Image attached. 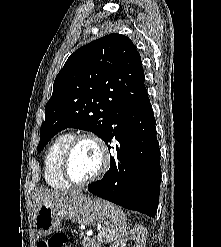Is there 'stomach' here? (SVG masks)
Here are the masks:
<instances>
[{
    "label": "stomach",
    "instance_id": "obj_1",
    "mask_svg": "<svg viewBox=\"0 0 221 247\" xmlns=\"http://www.w3.org/2000/svg\"><path fill=\"white\" fill-rule=\"evenodd\" d=\"M105 204L104 200L83 193L55 205L41 204L35 216L36 231L49 235L68 219L82 225H95L106 216Z\"/></svg>",
    "mask_w": 221,
    "mask_h": 247
}]
</instances>
